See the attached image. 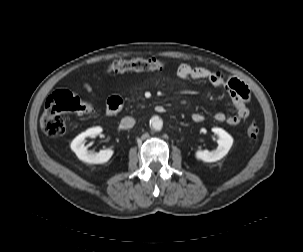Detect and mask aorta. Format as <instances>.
<instances>
[{"instance_id":"762f6f07","label":"aorta","mask_w":303,"mask_h":252,"mask_svg":"<svg viewBox=\"0 0 303 252\" xmlns=\"http://www.w3.org/2000/svg\"><path fill=\"white\" fill-rule=\"evenodd\" d=\"M150 126L152 129L159 131L163 127V121L158 116H155L150 120Z\"/></svg>"}]
</instances>
